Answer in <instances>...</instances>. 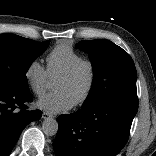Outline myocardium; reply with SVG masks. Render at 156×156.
Segmentation results:
<instances>
[{"label":"myocardium","mask_w":156,"mask_h":156,"mask_svg":"<svg viewBox=\"0 0 156 156\" xmlns=\"http://www.w3.org/2000/svg\"><path fill=\"white\" fill-rule=\"evenodd\" d=\"M82 68H87L88 70V83L83 94L73 103L74 106L84 104L90 98L94 90L97 80V71L94 63L90 60L81 59L56 78L59 80H70L74 78Z\"/></svg>","instance_id":"f54148a6"}]
</instances>
